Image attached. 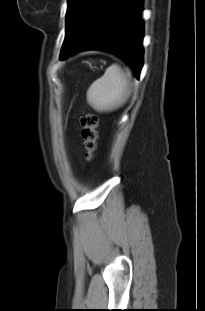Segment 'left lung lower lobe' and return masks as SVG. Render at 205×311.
<instances>
[{"mask_svg":"<svg viewBox=\"0 0 205 311\" xmlns=\"http://www.w3.org/2000/svg\"><path fill=\"white\" fill-rule=\"evenodd\" d=\"M142 0H119L103 21L60 60L82 50H102L126 61L136 77L142 68Z\"/></svg>","mask_w":205,"mask_h":311,"instance_id":"1","label":"left lung lower lobe"}]
</instances>
